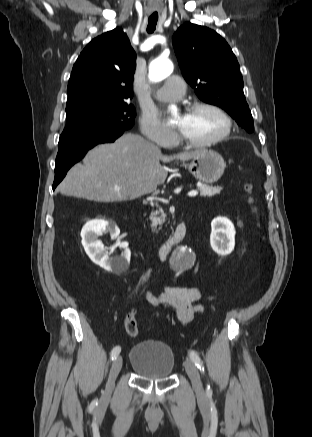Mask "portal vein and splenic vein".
I'll return each mask as SVG.
<instances>
[{"mask_svg":"<svg viewBox=\"0 0 312 437\" xmlns=\"http://www.w3.org/2000/svg\"><path fill=\"white\" fill-rule=\"evenodd\" d=\"M115 190H120V187L115 188ZM198 194V192L196 190H192L188 193L189 197H194Z\"/></svg>","mask_w":312,"mask_h":437,"instance_id":"18ae733b","label":"portal vein and splenic vein"}]
</instances>
